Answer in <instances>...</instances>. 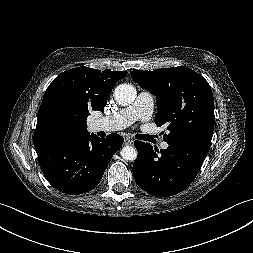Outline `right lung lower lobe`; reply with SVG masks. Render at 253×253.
<instances>
[{
  "instance_id": "98d812e1",
  "label": "right lung lower lobe",
  "mask_w": 253,
  "mask_h": 253,
  "mask_svg": "<svg viewBox=\"0 0 253 253\" xmlns=\"http://www.w3.org/2000/svg\"><path fill=\"white\" fill-rule=\"evenodd\" d=\"M123 138L87 135L80 138L53 139L37 149L41 169L58 191L77 195L95 188Z\"/></svg>"
}]
</instances>
